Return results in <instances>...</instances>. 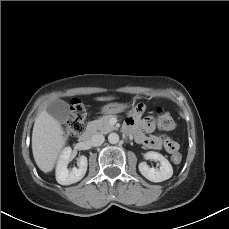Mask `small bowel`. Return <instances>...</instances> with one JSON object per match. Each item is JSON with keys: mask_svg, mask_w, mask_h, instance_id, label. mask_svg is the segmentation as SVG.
Returning <instances> with one entry per match:
<instances>
[{"mask_svg": "<svg viewBox=\"0 0 229 229\" xmlns=\"http://www.w3.org/2000/svg\"><path fill=\"white\" fill-rule=\"evenodd\" d=\"M144 112L145 106L140 104L134 106L127 115L123 126V131L129 135H132L139 144L152 150H160L164 145V140L169 138L147 135L146 133L152 132L156 125L162 130L171 131L174 127L164 128L161 125V118L164 116H170L167 113L162 114L156 124L152 118H143L142 115Z\"/></svg>", "mask_w": 229, "mask_h": 229, "instance_id": "1", "label": "small bowel"}]
</instances>
